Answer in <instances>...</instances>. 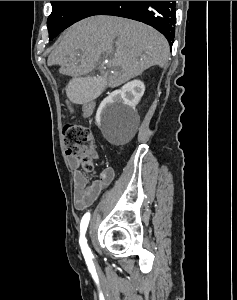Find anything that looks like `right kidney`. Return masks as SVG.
Masks as SVG:
<instances>
[{"label": "right kidney", "mask_w": 237, "mask_h": 300, "mask_svg": "<svg viewBox=\"0 0 237 300\" xmlns=\"http://www.w3.org/2000/svg\"><path fill=\"white\" fill-rule=\"evenodd\" d=\"M144 91L145 85L142 83V81H130V83H127V85H124V87H121V89H118V91H113V93H110L109 97L103 99L102 103H100L98 107V111L96 113V123L100 125V115L103 109L109 105V103H123V105H129L131 109H135L141 97H143Z\"/></svg>", "instance_id": "1"}]
</instances>
